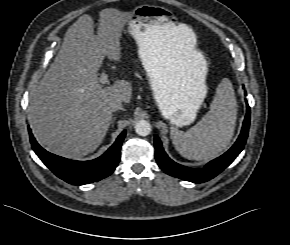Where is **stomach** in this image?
Listing matches in <instances>:
<instances>
[{
  "label": "stomach",
  "mask_w": 290,
  "mask_h": 245,
  "mask_svg": "<svg viewBox=\"0 0 290 245\" xmlns=\"http://www.w3.org/2000/svg\"><path fill=\"white\" fill-rule=\"evenodd\" d=\"M147 8L135 10L128 20L129 32L138 44L140 60L162 115L176 127L189 125L207 95L205 59L197 52L189 66L179 65L166 37L168 28L175 26L170 16L162 7Z\"/></svg>",
  "instance_id": "1"
}]
</instances>
